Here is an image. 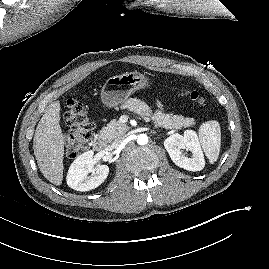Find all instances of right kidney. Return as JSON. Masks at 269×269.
Returning <instances> with one entry per match:
<instances>
[{"instance_id": "obj_1", "label": "right kidney", "mask_w": 269, "mask_h": 269, "mask_svg": "<svg viewBox=\"0 0 269 269\" xmlns=\"http://www.w3.org/2000/svg\"><path fill=\"white\" fill-rule=\"evenodd\" d=\"M94 152L88 151L77 157L67 173V184L76 191H89L101 185L109 174L107 165L93 168ZM91 173L90 176L88 174Z\"/></svg>"}]
</instances>
